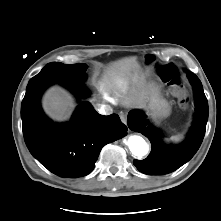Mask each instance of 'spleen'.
<instances>
[{
    "label": "spleen",
    "instance_id": "3e777b00",
    "mask_svg": "<svg viewBox=\"0 0 221 221\" xmlns=\"http://www.w3.org/2000/svg\"><path fill=\"white\" fill-rule=\"evenodd\" d=\"M181 139V137L180 136H174V137H171L170 138V141H179Z\"/></svg>",
    "mask_w": 221,
    "mask_h": 221
}]
</instances>
